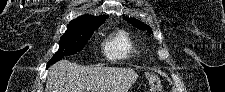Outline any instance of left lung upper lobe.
I'll use <instances>...</instances> for the list:
<instances>
[{"label":"left lung upper lobe","instance_id":"obj_1","mask_svg":"<svg viewBox=\"0 0 225 92\" xmlns=\"http://www.w3.org/2000/svg\"><path fill=\"white\" fill-rule=\"evenodd\" d=\"M126 20H127V22L137 26L138 29L147 30L149 33H152V30H151V28L149 26L144 25L143 23H140L137 19L128 18Z\"/></svg>","mask_w":225,"mask_h":92}]
</instances>
